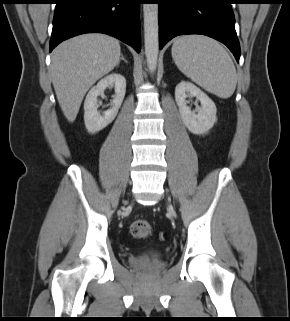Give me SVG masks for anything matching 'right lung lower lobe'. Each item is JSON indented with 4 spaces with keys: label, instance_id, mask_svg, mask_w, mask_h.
<instances>
[{
    "label": "right lung lower lobe",
    "instance_id": "1",
    "mask_svg": "<svg viewBox=\"0 0 290 321\" xmlns=\"http://www.w3.org/2000/svg\"><path fill=\"white\" fill-rule=\"evenodd\" d=\"M142 0H56L50 52L83 33H105L140 52L139 4Z\"/></svg>",
    "mask_w": 290,
    "mask_h": 321
}]
</instances>
